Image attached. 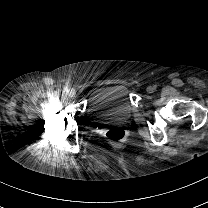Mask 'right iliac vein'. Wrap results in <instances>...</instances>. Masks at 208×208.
Returning <instances> with one entry per match:
<instances>
[{
	"label": "right iliac vein",
	"instance_id": "right-iliac-vein-1",
	"mask_svg": "<svg viewBox=\"0 0 208 208\" xmlns=\"http://www.w3.org/2000/svg\"><path fill=\"white\" fill-rule=\"evenodd\" d=\"M76 94V91L74 89L69 90L68 95L69 97H74Z\"/></svg>",
	"mask_w": 208,
	"mask_h": 208
}]
</instances>
